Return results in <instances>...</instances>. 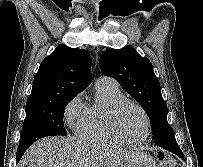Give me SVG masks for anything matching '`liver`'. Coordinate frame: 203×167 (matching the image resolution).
I'll list each match as a JSON object with an SVG mask.
<instances>
[{"label":"liver","instance_id":"obj_1","mask_svg":"<svg viewBox=\"0 0 203 167\" xmlns=\"http://www.w3.org/2000/svg\"><path fill=\"white\" fill-rule=\"evenodd\" d=\"M144 155L71 137L43 138L26 151L18 167H151Z\"/></svg>","mask_w":203,"mask_h":167}]
</instances>
